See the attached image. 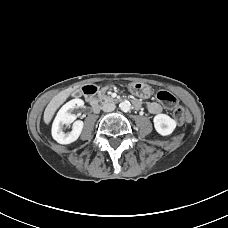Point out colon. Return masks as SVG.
Wrapping results in <instances>:
<instances>
[{
	"mask_svg": "<svg viewBox=\"0 0 228 228\" xmlns=\"http://www.w3.org/2000/svg\"><path fill=\"white\" fill-rule=\"evenodd\" d=\"M157 99L169 107H175L174 117L179 123H184L189 119V113L182 106H177V99L170 92L165 90L159 91Z\"/></svg>",
	"mask_w": 228,
	"mask_h": 228,
	"instance_id": "obj_1",
	"label": "colon"
}]
</instances>
